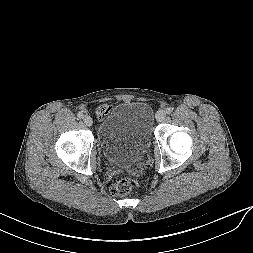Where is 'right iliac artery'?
Segmentation results:
<instances>
[{
    "instance_id": "82829eb1",
    "label": "right iliac artery",
    "mask_w": 253,
    "mask_h": 253,
    "mask_svg": "<svg viewBox=\"0 0 253 253\" xmlns=\"http://www.w3.org/2000/svg\"><path fill=\"white\" fill-rule=\"evenodd\" d=\"M77 117L79 119H82V118H84V114L82 112H78Z\"/></svg>"
}]
</instances>
